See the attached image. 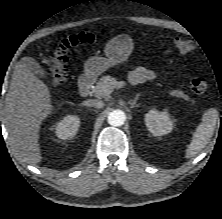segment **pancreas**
<instances>
[{
    "instance_id": "cf45deb5",
    "label": "pancreas",
    "mask_w": 222,
    "mask_h": 219,
    "mask_svg": "<svg viewBox=\"0 0 222 219\" xmlns=\"http://www.w3.org/2000/svg\"><path fill=\"white\" fill-rule=\"evenodd\" d=\"M114 82H117L115 78L111 76H102L97 82L96 86L92 90V94L97 98H106L112 92L113 89H110V86ZM171 96L182 98L184 100H189V97L180 90H172L169 92ZM194 103L193 100H191Z\"/></svg>"
}]
</instances>
